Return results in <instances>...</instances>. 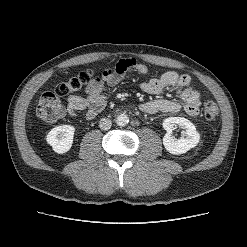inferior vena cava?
Wrapping results in <instances>:
<instances>
[{"label": "inferior vena cava", "instance_id": "obj_1", "mask_svg": "<svg viewBox=\"0 0 247 247\" xmlns=\"http://www.w3.org/2000/svg\"><path fill=\"white\" fill-rule=\"evenodd\" d=\"M112 121L109 118H102L99 121V127L102 130H109L111 128Z\"/></svg>", "mask_w": 247, "mask_h": 247}]
</instances>
